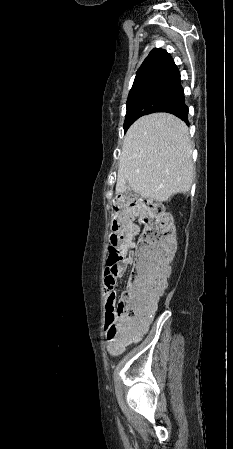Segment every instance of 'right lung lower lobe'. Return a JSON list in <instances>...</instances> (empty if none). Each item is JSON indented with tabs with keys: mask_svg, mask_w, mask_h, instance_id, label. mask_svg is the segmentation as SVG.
Returning a JSON list of instances; mask_svg holds the SVG:
<instances>
[{
	"mask_svg": "<svg viewBox=\"0 0 233 449\" xmlns=\"http://www.w3.org/2000/svg\"><path fill=\"white\" fill-rule=\"evenodd\" d=\"M161 112L171 113L180 119H182L186 124L188 123V107L185 105L184 98L171 105H168L160 110Z\"/></svg>",
	"mask_w": 233,
	"mask_h": 449,
	"instance_id": "right-lung-lower-lobe-1",
	"label": "right lung lower lobe"
}]
</instances>
